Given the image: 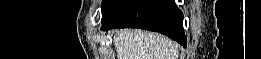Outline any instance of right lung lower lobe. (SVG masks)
Instances as JSON below:
<instances>
[{"label":"right lung lower lobe","instance_id":"right-lung-lower-lobe-1","mask_svg":"<svg viewBox=\"0 0 261 59\" xmlns=\"http://www.w3.org/2000/svg\"><path fill=\"white\" fill-rule=\"evenodd\" d=\"M102 30L140 28L166 35L186 47L183 14L173 0H121L102 16Z\"/></svg>","mask_w":261,"mask_h":59}]
</instances>
